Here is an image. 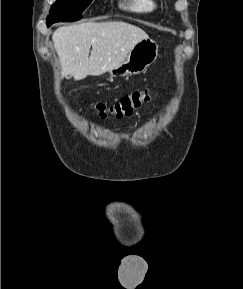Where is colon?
Segmentation results:
<instances>
[{"label": "colon", "mask_w": 243, "mask_h": 289, "mask_svg": "<svg viewBox=\"0 0 243 289\" xmlns=\"http://www.w3.org/2000/svg\"><path fill=\"white\" fill-rule=\"evenodd\" d=\"M150 93L147 89L138 90L125 95L113 104L96 103L93 108L101 117L112 115L117 118L129 116L133 111L139 108L144 102L149 101Z\"/></svg>", "instance_id": "colon-1"}]
</instances>
